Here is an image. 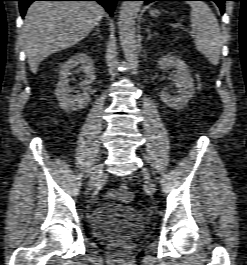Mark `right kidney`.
<instances>
[{"label": "right kidney", "instance_id": "obj_1", "mask_svg": "<svg viewBox=\"0 0 247 265\" xmlns=\"http://www.w3.org/2000/svg\"><path fill=\"white\" fill-rule=\"evenodd\" d=\"M78 65H80L81 70L85 73V79L81 82V85L85 90L95 80L93 60L85 53H78L65 63L60 64L59 82L55 93L60 107L65 111H76L82 109L90 102V95L86 91L77 95L70 94V79L68 76L70 75V70Z\"/></svg>", "mask_w": 247, "mask_h": 265}]
</instances>
